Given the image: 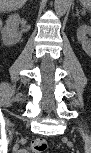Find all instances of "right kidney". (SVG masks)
Instances as JSON below:
<instances>
[{"instance_id":"right-kidney-1","label":"right kidney","mask_w":91,"mask_h":153,"mask_svg":"<svg viewBox=\"0 0 91 153\" xmlns=\"http://www.w3.org/2000/svg\"><path fill=\"white\" fill-rule=\"evenodd\" d=\"M20 17L18 14L10 15L6 21V26L1 30V39L5 46H13L17 44L22 35L18 31Z\"/></svg>"}]
</instances>
